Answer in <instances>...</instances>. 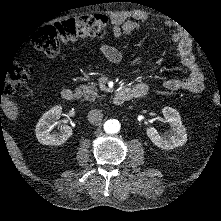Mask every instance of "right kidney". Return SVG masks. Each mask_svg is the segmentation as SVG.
<instances>
[{
	"instance_id": "1",
	"label": "right kidney",
	"mask_w": 221,
	"mask_h": 221,
	"mask_svg": "<svg viewBox=\"0 0 221 221\" xmlns=\"http://www.w3.org/2000/svg\"><path fill=\"white\" fill-rule=\"evenodd\" d=\"M62 110L63 105L57 104L50 107L49 110L40 116L35 126V135L40 143L45 145H61L71 137L73 131L68 125L62 126L60 131L53 130L55 127L53 121L61 117Z\"/></svg>"
}]
</instances>
